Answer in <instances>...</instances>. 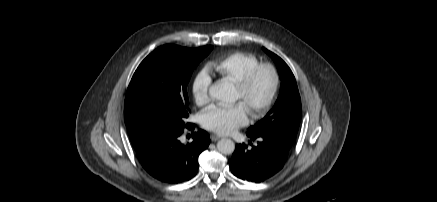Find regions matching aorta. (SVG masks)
<instances>
[{"label": "aorta", "instance_id": "aorta-1", "mask_svg": "<svg viewBox=\"0 0 437 202\" xmlns=\"http://www.w3.org/2000/svg\"><path fill=\"white\" fill-rule=\"evenodd\" d=\"M209 94L212 98L225 103H232L236 100L234 85L224 80H218L212 84ZM217 149L220 153L229 155L234 152L235 144L231 139L223 138L217 142Z\"/></svg>", "mask_w": 437, "mask_h": 202}]
</instances>
